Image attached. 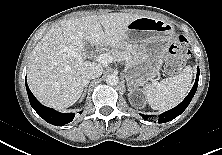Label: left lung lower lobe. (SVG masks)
<instances>
[{
  "mask_svg": "<svg viewBox=\"0 0 222 155\" xmlns=\"http://www.w3.org/2000/svg\"><path fill=\"white\" fill-rule=\"evenodd\" d=\"M199 67H197V76H196V80L194 83L193 88L191 89L190 93L187 95V97L175 108L166 111L164 113H162L161 115H159L158 118V123H165V122H169L171 120H173L174 118H176L177 116H179L189 105L190 101L192 100L197 87H198V80H199ZM145 120H147L148 118L152 117L151 115H141Z\"/></svg>",
  "mask_w": 222,
  "mask_h": 155,
  "instance_id": "1",
  "label": "left lung lower lobe"
}]
</instances>
